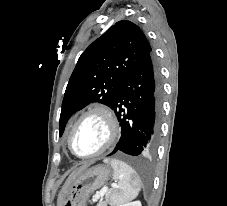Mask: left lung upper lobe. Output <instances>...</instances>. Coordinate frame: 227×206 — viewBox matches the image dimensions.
Instances as JSON below:
<instances>
[{
	"label": "left lung upper lobe",
	"instance_id": "5c2ea615",
	"mask_svg": "<svg viewBox=\"0 0 227 206\" xmlns=\"http://www.w3.org/2000/svg\"><path fill=\"white\" fill-rule=\"evenodd\" d=\"M152 53L142 30L119 21L90 44L69 79L60 115L59 136L73 113L91 102L113 107L127 76Z\"/></svg>",
	"mask_w": 227,
	"mask_h": 206
}]
</instances>
